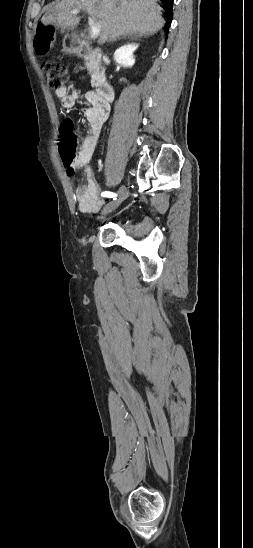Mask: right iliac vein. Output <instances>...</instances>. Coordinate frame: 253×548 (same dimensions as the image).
Masks as SVG:
<instances>
[{
    "label": "right iliac vein",
    "mask_w": 253,
    "mask_h": 548,
    "mask_svg": "<svg viewBox=\"0 0 253 548\" xmlns=\"http://www.w3.org/2000/svg\"><path fill=\"white\" fill-rule=\"evenodd\" d=\"M127 195V189L124 185H122L119 189L118 198L105 206L103 209V214H108L116 209L127 198Z\"/></svg>",
    "instance_id": "63e3f726"
}]
</instances>
